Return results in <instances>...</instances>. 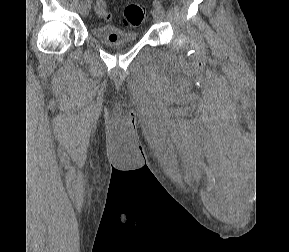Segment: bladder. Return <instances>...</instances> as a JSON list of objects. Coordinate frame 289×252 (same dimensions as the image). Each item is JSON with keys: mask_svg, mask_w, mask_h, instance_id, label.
I'll list each match as a JSON object with an SVG mask.
<instances>
[{"mask_svg": "<svg viewBox=\"0 0 289 252\" xmlns=\"http://www.w3.org/2000/svg\"><path fill=\"white\" fill-rule=\"evenodd\" d=\"M93 36L108 46H120L135 43L139 39L136 31H126L111 25L94 26Z\"/></svg>", "mask_w": 289, "mask_h": 252, "instance_id": "bladder-1", "label": "bladder"}]
</instances>
